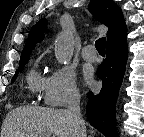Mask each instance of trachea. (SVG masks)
Instances as JSON below:
<instances>
[{
  "instance_id": "obj_1",
  "label": "trachea",
  "mask_w": 144,
  "mask_h": 137,
  "mask_svg": "<svg viewBox=\"0 0 144 137\" xmlns=\"http://www.w3.org/2000/svg\"><path fill=\"white\" fill-rule=\"evenodd\" d=\"M106 38H99L95 42V47L100 54H105Z\"/></svg>"
}]
</instances>
